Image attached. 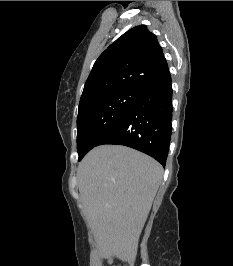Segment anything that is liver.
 I'll return each mask as SVG.
<instances>
[{
    "instance_id": "liver-1",
    "label": "liver",
    "mask_w": 233,
    "mask_h": 266,
    "mask_svg": "<svg viewBox=\"0 0 233 266\" xmlns=\"http://www.w3.org/2000/svg\"><path fill=\"white\" fill-rule=\"evenodd\" d=\"M162 176L156 160L121 145L96 147L81 161L79 192L102 258L134 259Z\"/></svg>"
}]
</instances>
